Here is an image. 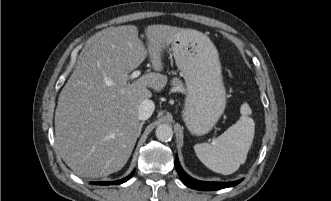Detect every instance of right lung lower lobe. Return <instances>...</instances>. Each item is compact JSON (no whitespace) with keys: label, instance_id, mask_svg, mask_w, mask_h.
<instances>
[{"label":"right lung lower lobe","instance_id":"right-lung-lower-lobe-1","mask_svg":"<svg viewBox=\"0 0 331 201\" xmlns=\"http://www.w3.org/2000/svg\"><path fill=\"white\" fill-rule=\"evenodd\" d=\"M134 174V171L131 173V175L127 176L126 178L124 179H121V180H118V181H114V182H95L94 184H100V185H110V184H121V183H124L126 182L127 180L130 179V177Z\"/></svg>","mask_w":331,"mask_h":201}]
</instances>
